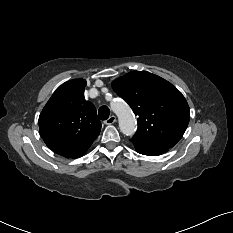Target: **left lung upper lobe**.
Segmentation results:
<instances>
[{"label": "left lung upper lobe", "instance_id": "obj_1", "mask_svg": "<svg viewBox=\"0 0 233 233\" xmlns=\"http://www.w3.org/2000/svg\"><path fill=\"white\" fill-rule=\"evenodd\" d=\"M112 88L138 115L132 143L171 148L181 139L190 109L171 83L147 71H132L113 81Z\"/></svg>", "mask_w": 233, "mask_h": 233}]
</instances>
